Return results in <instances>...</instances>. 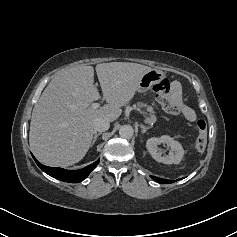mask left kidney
I'll return each instance as SVG.
<instances>
[{
	"label": "left kidney",
	"mask_w": 237,
	"mask_h": 237,
	"mask_svg": "<svg viewBox=\"0 0 237 237\" xmlns=\"http://www.w3.org/2000/svg\"><path fill=\"white\" fill-rule=\"evenodd\" d=\"M161 143L170 147L169 154L166 156H162L161 150L157 147ZM146 146L151 156L157 162L164 164H179L184 156V150L181 144L168 135H163L160 138H150L147 140Z\"/></svg>",
	"instance_id": "left-kidney-1"
}]
</instances>
